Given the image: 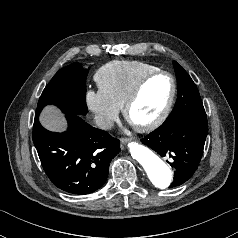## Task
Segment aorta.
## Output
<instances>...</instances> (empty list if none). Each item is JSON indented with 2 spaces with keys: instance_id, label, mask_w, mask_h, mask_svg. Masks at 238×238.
<instances>
[{
  "instance_id": "aorta-1",
  "label": "aorta",
  "mask_w": 238,
  "mask_h": 238,
  "mask_svg": "<svg viewBox=\"0 0 238 238\" xmlns=\"http://www.w3.org/2000/svg\"><path fill=\"white\" fill-rule=\"evenodd\" d=\"M128 147L133 159L144 168L155 187L165 189L170 185L172 172L156 154L138 143H130Z\"/></svg>"
}]
</instances>
